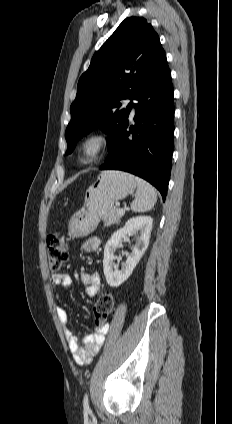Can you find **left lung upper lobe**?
Wrapping results in <instances>:
<instances>
[{
	"mask_svg": "<svg viewBox=\"0 0 232 424\" xmlns=\"http://www.w3.org/2000/svg\"><path fill=\"white\" fill-rule=\"evenodd\" d=\"M165 57L151 24L141 17L126 18L79 79L65 132L67 154L97 124L109 136V148L128 115L129 105L122 109L120 100L132 99Z\"/></svg>",
	"mask_w": 232,
	"mask_h": 424,
	"instance_id": "obj_1",
	"label": "left lung upper lobe"
}]
</instances>
